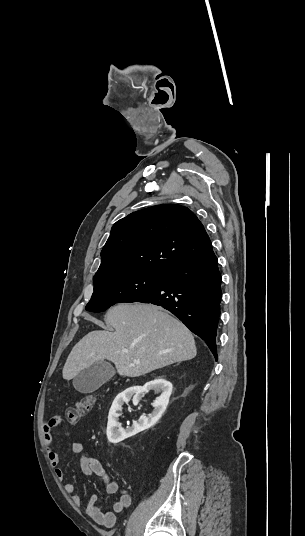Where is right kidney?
Wrapping results in <instances>:
<instances>
[{
	"label": "right kidney",
	"mask_w": 305,
	"mask_h": 536,
	"mask_svg": "<svg viewBox=\"0 0 305 536\" xmlns=\"http://www.w3.org/2000/svg\"><path fill=\"white\" fill-rule=\"evenodd\" d=\"M147 390H155V394H161V396L156 398L152 404L154 408L152 414H150L149 418L142 416L138 424L137 422H134L133 428H126V430H124V428H121L120 422H118V418L121 416V406H123L124 402H129L130 398H138L141 392H147ZM171 392V382H167V380H164L163 376H159V378H155L152 382H147L142 388L141 386H134V388H128V390L119 394V396L115 398L108 416L106 434L109 442L118 444V442L130 438V436H134V434H138V432H143V430H148L151 426H155L156 422L160 420L163 412H165L168 406Z\"/></svg>",
	"instance_id": "1"
}]
</instances>
